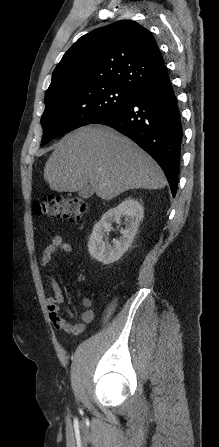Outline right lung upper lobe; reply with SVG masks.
I'll return each mask as SVG.
<instances>
[{
	"mask_svg": "<svg viewBox=\"0 0 219 447\" xmlns=\"http://www.w3.org/2000/svg\"><path fill=\"white\" fill-rule=\"evenodd\" d=\"M168 77L151 32L131 20H121L82 36L56 66L46 95L86 92L114 85L132 94Z\"/></svg>",
	"mask_w": 219,
	"mask_h": 447,
	"instance_id": "right-lung-upper-lobe-1",
	"label": "right lung upper lobe"
}]
</instances>
